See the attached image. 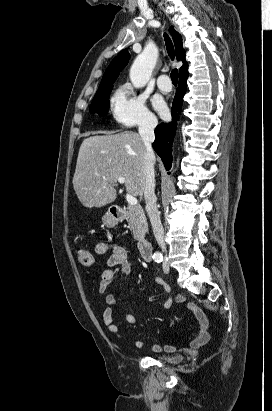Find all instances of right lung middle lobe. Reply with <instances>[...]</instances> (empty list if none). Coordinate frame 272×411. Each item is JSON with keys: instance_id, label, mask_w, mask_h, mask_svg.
<instances>
[{"instance_id": "dd1d6c3e", "label": "right lung middle lobe", "mask_w": 272, "mask_h": 411, "mask_svg": "<svg viewBox=\"0 0 272 411\" xmlns=\"http://www.w3.org/2000/svg\"><path fill=\"white\" fill-rule=\"evenodd\" d=\"M112 88L113 84L98 89L90 106L91 112H96L101 116H104L107 113V110L109 108V95Z\"/></svg>"}]
</instances>
